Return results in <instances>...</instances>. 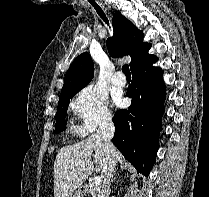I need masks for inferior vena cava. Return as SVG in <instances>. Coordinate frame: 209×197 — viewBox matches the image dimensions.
<instances>
[{"label":"inferior vena cava","mask_w":209,"mask_h":197,"mask_svg":"<svg viewBox=\"0 0 209 197\" xmlns=\"http://www.w3.org/2000/svg\"><path fill=\"white\" fill-rule=\"evenodd\" d=\"M115 127L111 117H107L100 124L97 135L101 138L106 149V165L102 171L103 183L101 187L100 197H109L110 182L113 177L116 166V148L112 144Z\"/></svg>","instance_id":"1"}]
</instances>
